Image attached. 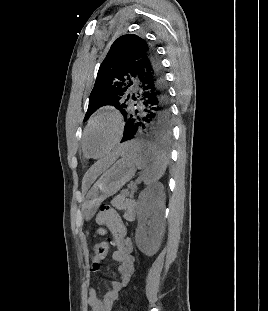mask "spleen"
<instances>
[{"label":"spleen","mask_w":268,"mask_h":311,"mask_svg":"<svg viewBox=\"0 0 268 311\" xmlns=\"http://www.w3.org/2000/svg\"><path fill=\"white\" fill-rule=\"evenodd\" d=\"M123 147L130 156L137 169L143 170L144 184L157 182L165 173L167 167L166 156L146 140H123Z\"/></svg>","instance_id":"obj_1"}]
</instances>
